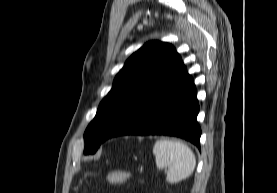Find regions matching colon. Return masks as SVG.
I'll use <instances>...</instances> for the list:
<instances>
[{
  "instance_id": "5ec220e1",
  "label": "colon",
  "mask_w": 277,
  "mask_h": 193,
  "mask_svg": "<svg viewBox=\"0 0 277 193\" xmlns=\"http://www.w3.org/2000/svg\"><path fill=\"white\" fill-rule=\"evenodd\" d=\"M131 178L132 174L124 170H112L105 176L106 181L113 185L126 184Z\"/></svg>"
}]
</instances>
